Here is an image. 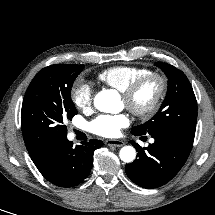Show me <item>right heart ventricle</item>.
Here are the masks:
<instances>
[{"instance_id": "1", "label": "right heart ventricle", "mask_w": 215, "mask_h": 215, "mask_svg": "<svg viewBox=\"0 0 215 215\" xmlns=\"http://www.w3.org/2000/svg\"><path fill=\"white\" fill-rule=\"evenodd\" d=\"M147 72L148 69L139 66H112L101 71L98 74V80L103 84L122 92L130 83Z\"/></svg>"}]
</instances>
